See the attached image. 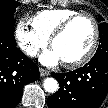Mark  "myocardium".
Masks as SVG:
<instances>
[{
  "label": "myocardium",
  "instance_id": "obj_1",
  "mask_svg": "<svg viewBox=\"0 0 108 108\" xmlns=\"http://www.w3.org/2000/svg\"><path fill=\"white\" fill-rule=\"evenodd\" d=\"M80 18H87L92 23L93 29H94L93 39H92V42H91L89 48L82 56H80L79 58L72 60V61L63 62V65L67 68H77L79 66H82L86 62H88L91 59V57L94 55L96 48L98 46V43H99L100 30H99V25H98L96 18L89 13H76V14L68 17L67 19H65L55 29V31L52 33V35L50 37V45L53 47L54 42L66 32V30L69 28V26L73 22H75L76 20H78Z\"/></svg>",
  "mask_w": 108,
  "mask_h": 108
}]
</instances>
